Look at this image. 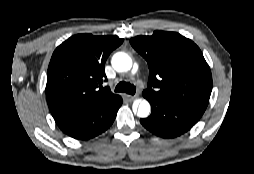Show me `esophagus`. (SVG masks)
Instances as JSON below:
<instances>
[{
	"label": "esophagus",
	"mask_w": 254,
	"mask_h": 174,
	"mask_svg": "<svg viewBox=\"0 0 254 174\" xmlns=\"http://www.w3.org/2000/svg\"><path fill=\"white\" fill-rule=\"evenodd\" d=\"M125 98H126L127 101H133V100H135L137 98V96L126 94Z\"/></svg>",
	"instance_id": "1"
}]
</instances>
